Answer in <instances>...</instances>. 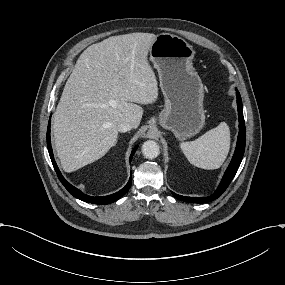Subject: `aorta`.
I'll use <instances>...</instances> for the list:
<instances>
[{"label":"aorta","instance_id":"obj_1","mask_svg":"<svg viewBox=\"0 0 285 285\" xmlns=\"http://www.w3.org/2000/svg\"><path fill=\"white\" fill-rule=\"evenodd\" d=\"M142 153L146 158L149 159L156 158L160 153L158 143L153 140H148L144 142V144L142 145Z\"/></svg>","mask_w":285,"mask_h":285}]
</instances>
